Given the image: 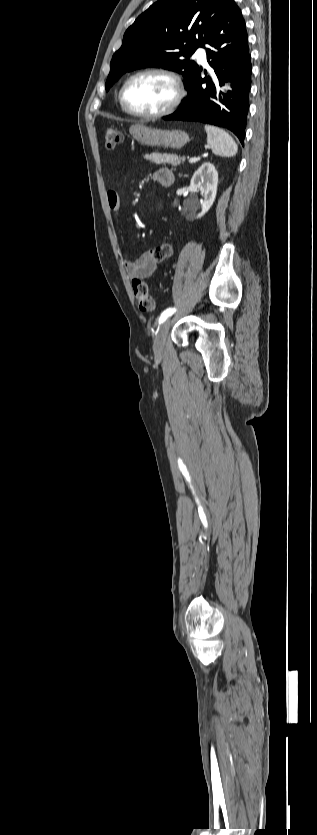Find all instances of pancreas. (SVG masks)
<instances>
[{"mask_svg": "<svg viewBox=\"0 0 317 835\" xmlns=\"http://www.w3.org/2000/svg\"><path fill=\"white\" fill-rule=\"evenodd\" d=\"M145 158L147 160H149L151 163H155V164H158V165L173 164V163H176L179 160L184 161L183 157H180V156L178 157L176 154H170V153L169 154H167V153L161 154V153L153 152L150 155H146Z\"/></svg>", "mask_w": 317, "mask_h": 835, "instance_id": "cf45deb5", "label": "pancreas"}]
</instances>
